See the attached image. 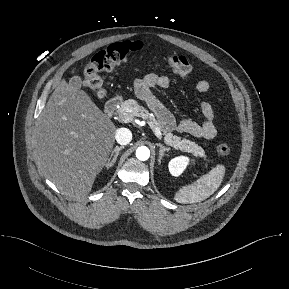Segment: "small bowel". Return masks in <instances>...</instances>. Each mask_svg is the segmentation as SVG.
<instances>
[{"instance_id":"1","label":"small bowel","mask_w":289,"mask_h":289,"mask_svg":"<svg viewBox=\"0 0 289 289\" xmlns=\"http://www.w3.org/2000/svg\"><path fill=\"white\" fill-rule=\"evenodd\" d=\"M171 81L166 76L157 74H148L135 82V92L137 96L148 103L156 113L159 121L166 130H178L188 133L194 137L202 139H213L217 135V129L214 124V110L212 106L205 101L200 103V110L203 120L195 121L193 119H182L177 122L171 112L157 99L153 89H167ZM210 83L207 80H200L196 83L195 89L199 93L207 92Z\"/></svg>"}]
</instances>
